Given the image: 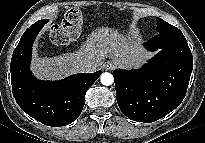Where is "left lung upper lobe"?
I'll return each mask as SVG.
<instances>
[{
  "instance_id": "obj_1",
  "label": "left lung upper lobe",
  "mask_w": 205,
  "mask_h": 143,
  "mask_svg": "<svg viewBox=\"0 0 205 143\" xmlns=\"http://www.w3.org/2000/svg\"><path fill=\"white\" fill-rule=\"evenodd\" d=\"M157 20V32L161 33V32H168V31H175L178 28L170 25L169 23H167L166 21H164L161 18H156Z\"/></svg>"
}]
</instances>
